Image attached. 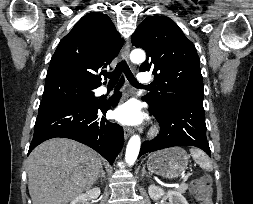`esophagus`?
Masks as SVG:
<instances>
[{
	"mask_svg": "<svg viewBox=\"0 0 253 204\" xmlns=\"http://www.w3.org/2000/svg\"><path fill=\"white\" fill-rule=\"evenodd\" d=\"M129 53H130V43L127 42L122 50V57L126 60L129 61ZM133 133V129L130 127H125L124 128V137L125 139H128Z\"/></svg>",
	"mask_w": 253,
	"mask_h": 204,
	"instance_id": "obj_1",
	"label": "esophagus"
}]
</instances>
